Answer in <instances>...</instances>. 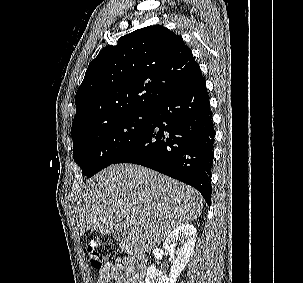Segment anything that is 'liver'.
Returning <instances> with one entry per match:
<instances>
[{
	"instance_id": "liver-1",
	"label": "liver",
	"mask_w": 303,
	"mask_h": 283,
	"mask_svg": "<svg viewBox=\"0 0 303 283\" xmlns=\"http://www.w3.org/2000/svg\"><path fill=\"white\" fill-rule=\"evenodd\" d=\"M76 233L116 234L130 218L126 241L148 252L175 228L202 213L203 198L194 188L133 164L111 165L86 181L76 195Z\"/></svg>"
}]
</instances>
